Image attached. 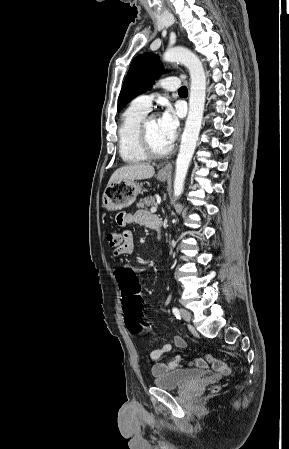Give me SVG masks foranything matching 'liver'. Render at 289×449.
Instances as JSON below:
<instances>
[{"mask_svg": "<svg viewBox=\"0 0 289 449\" xmlns=\"http://www.w3.org/2000/svg\"><path fill=\"white\" fill-rule=\"evenodd\" d=\"M155 173L152 165L147 163L133 164L118 168L110 177L109 183L125 180H142L151 178Z\"/></svg>", "mask_w": 289, "mask_h": 449, "instance_id": "6515ba94", "label": "liver"}]
</instances>
